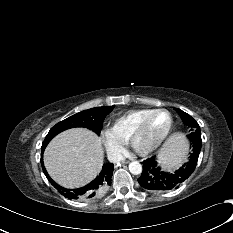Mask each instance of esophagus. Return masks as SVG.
I'll return each instance as SVG.
<instances>
[{"instance_id":"1","label":"esophagus","mask_w":233,"mask_h":233,"mask_svg":"<svg viewBox=\"0 0 233 233\" xmlns=\"http://www.w3.org/2000/svg\"><path fill=\"white\" fill-rule=\"evenodd\" d=\"M121 163L122 164H127V163H129V160H122Z\"/></svg>"}]
</instances>
